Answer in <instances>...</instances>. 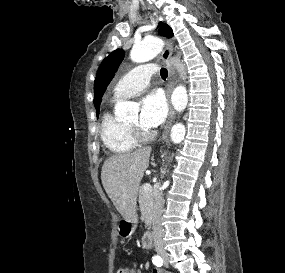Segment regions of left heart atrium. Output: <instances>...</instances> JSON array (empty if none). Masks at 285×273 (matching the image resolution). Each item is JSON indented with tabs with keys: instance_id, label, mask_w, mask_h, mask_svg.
Masks as SVG:
<instances>
[{
	"instance_id": "obj_1",
	"label": "left heart atrium",
	"mask_w": 285,
	"mask_h": 273,
	"mask_svg": "<svg viewBox=\"0 0 285 273\" xmlns=\"http://www.w3.org/2000/svg\"><path fill=\"white\" fill-rule=\"evenodd\" d=\"M167 115V101L161 91H152L141 101L139 122L144 129L152 130L162 124Z\"/></svg>"
}]
</instances>
